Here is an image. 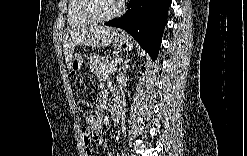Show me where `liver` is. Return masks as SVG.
Instances as JSON below:
<instances>
[{
  "mask_svg": "<svg viewBox=\"0 0 247 156\" xmlns=\"http://www.w3.org/2000/svg\"><path fill=\"white\" fill-rule=\"evenodd\" d=\"M117 30L112 27L93 26L78 30H70L64 37V56L70 70L74 48L78 45L105 47L112 43Z\"/></svg>",
  "mask_w": 247,
  "mask_h": 156,
  "instance_id": "obj_1",
  "label": "liver"
}]
</instances>
